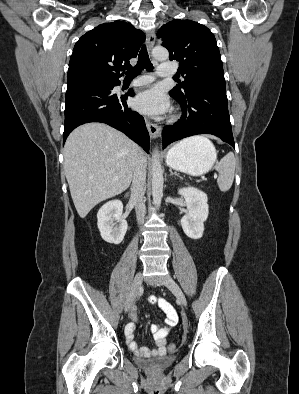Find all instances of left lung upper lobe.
<instances>
[{
	"label": "left lung upper lobe",
	"mask_w": 299,
	"mask_h": 394,
	"mask_svg": "<svg viewBox=\"0 0 299 394\" xmlns=\"http://www.w3.org/2000/svg\"><path fill=\"white\" fill-rule=\"evenodd\" d=\"M169 51V59L179 61L178 72L184 78L170 93L181 98L197 82H224L223 64L213 33L191 20L174 19L157 33Z\"/></svg>",
	"instance_id": "1"
}]
</instances>
